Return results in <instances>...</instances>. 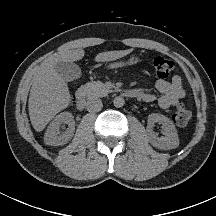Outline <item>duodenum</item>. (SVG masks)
<instances>
[{"instance_id":"1","label":"duodenum","mask_w":216,"mask_h":216,"mask_svg":"<svg viewBox=\"0 0 216 216\" xmlns=\"http://www.w3.org/2000/svg\"><path fill=\"white\" fill-rule=\"evenodd\" d=\"M123 95L125 97L131 98V99H138L142 100L143 96L140 92L134 91V90H125L123 92ZM87 88L85 86H82L79 88L77 92V107L78 109H84L87 102Z\"/></svg>"}]
</instances>
